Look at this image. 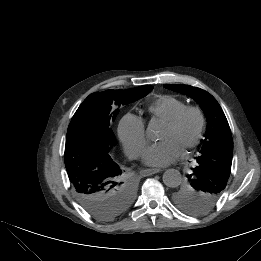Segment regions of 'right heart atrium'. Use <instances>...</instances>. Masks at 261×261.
<instances>
[{
  "mask_svg": "<svg viewBox=\"0 0 261 261\" xmlns=\"http://www.w3.org/2000/svg\"><path fill=\"white\" fill-rule=\"evenodd\" d=\"M117 131L127 155L138 158L147 144L143 119L134 114H126L121 118Z\"/></svg>",
  "mask_w": 261,
  "mask_h": 261,
  "instance_id": "d8ad5b80",
  "label": "right heart atrium"
}]
</instances>
